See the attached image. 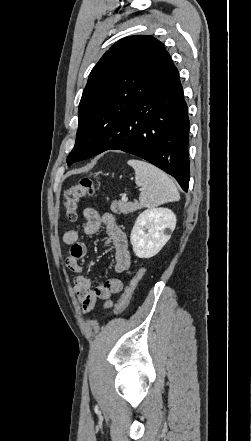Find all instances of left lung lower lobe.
Here are the masks:
<instances>
[{
    "mask_svg": "<svg viewBox=\"0 0 251 441\" xmlns=\"http://www.w3.org/2000/svg\"><path fill=\"white\" fill-rule=\"evenodd\" d=\"M189 127L179 72L171 62L127 115L94 127L88 158L110 149L122 150L172 175L187 191Z\"/></svg>",
    "mask_w": 251,
    "mask_h": 441,
    "instance_id": "0a47b994",
    "label": "left lung lower lobe"
}]
</instances>
